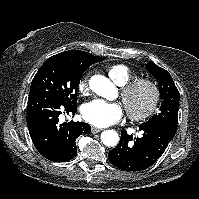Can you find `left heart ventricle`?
Instances as JSON below:
<instances>
[{
    "mask_svg": "<svg viewBox=\"0 0 199 199\" xmlns=\"http://www.w3.org/2000/svg\"><path fill=\"white\" fill-rule=\"evenodd\" d=\"M149 94L145 89H140L130 99V107L134 110H142L148 101Z\"/></svg>",
    "mask_w": 199,
    "mask_h": 199,
    "instance_id": "b2bd125f",
    "label": "left heart ventricle"
}]
</instances>
